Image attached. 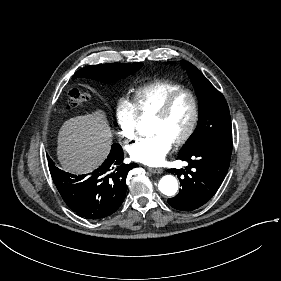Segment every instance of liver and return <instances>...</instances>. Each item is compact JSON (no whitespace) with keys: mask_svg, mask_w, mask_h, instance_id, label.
<instances>
[{"mask_svg":"<svg viewBox=\"0 0 281 281\" xmlns=\"http://www.w3.org/2000/svg\"><path fill=\"white\" fill-rule=\"evenodd\" d=\"M113 142L106 112L97 108L89 114L66 120L57 134V160L71 174H91L108 158Z\"/></svg>","mask_w":281,"mask_h":281,"instance_id":"liver-1","label":"liver"}]
</instances>
